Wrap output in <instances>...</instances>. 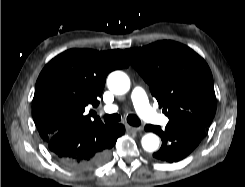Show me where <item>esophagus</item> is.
Wrapping results in <instances>:
<instances>
[{
    "label": "esophagus",
    "instance_id": "34e87169",
    "mask_svg": "<svg viewBox=\"0 0 245 187\" xmlns=\"http://www.w3.org/2000/svg\"><path fill=\"white\" fill-rule=\"evenodd\" d=\"M126 130L129 131V132H137V131H142L143 128L142 127H134V126H131V125H126Z\"/></svg>",
    "mask_w": 245,
    "mask_h": 187
}]
</instances>
